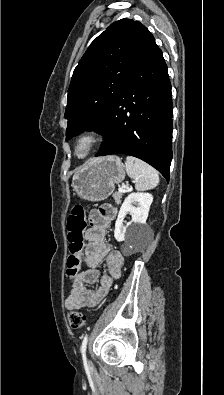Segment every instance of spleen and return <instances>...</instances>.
I'll list each match as a JSON object with an SVG mask.
<instances>
[{"mask_svg":"<svg viewBox=\"0 0 224 395\" xmlns=\"http://www.w3.org/2000/svg\"><path fill=\"white\" fill-rule=\"evenodd\" d=\"M126 172L135 183L136 190L145 191L155 188L159 184L157 171L140 159L127 156L125 160Z\"/></svg>","mask_w":224,"mask_h":395,"instance_id":"spleen-1","label":"spleen"}]
</instances>
